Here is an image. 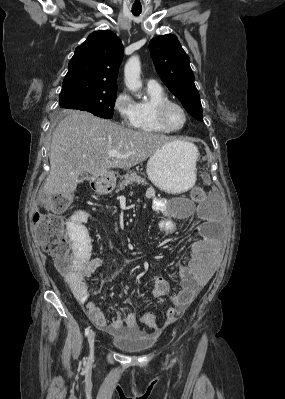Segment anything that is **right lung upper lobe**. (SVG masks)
I'll list each match as a JSON object with an SVG mask.
<instances>
[{
    "instance_id": "obj_1",
    "label": "right lung upper lobe",
    "mask_w": 285,
    "mask_h": 399,
    "mask_svg": "<svg viewBox=\"0 0 285 399\" xmlns=\"http://www.w3.org/2000/svg\"><path fill=\"white\" fill-rule=\"evenodd\" d=\"M124 47L116 34L100 30L75 49L60 94L77 91H117Z\"/></svg>"
}]
</instances>
